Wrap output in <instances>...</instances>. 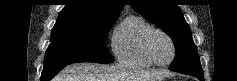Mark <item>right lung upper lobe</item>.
<instances>
[{
    "instance_id": "obj_1",
    "label": "right lung upper lobe",
    "mask_w": 237,
    "mask_h": 81,
    "mask_svg": "<svg viewBox=\"0 0 237 81\" xmlns=\"http://www.w3.org/2000/svg\"><path fill=\"white\" fill-rule=\"evenodd\" d=\"M123 6V0H67L58 19L116 20Z\"/></svg>"
}]
</instances>
